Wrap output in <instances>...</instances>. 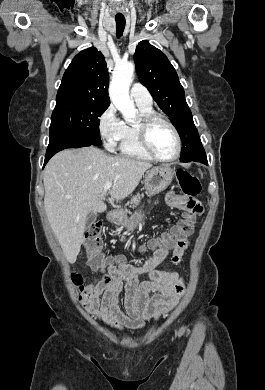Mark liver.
Masks as SVG:
<instances>
[{"label": "liver", "instance_id": "6515ba94", "mask_svg": "<svg viewBox=\"0 0 265 390\" xmlns=\"http://www.w3.org/2000/svg\"><path fill=\"white\" fill-rule=\"evenodd\" d=\"M151 167L145 161L109 156L93 146L63 150L50 159L44 170V208L69 263H75L80 252L89 213L107 209L100 197L104 185L112 182L110 196L124 199Z\"/></svg>", "mask_w": 265, "mask_h": 390}]
</instances>
